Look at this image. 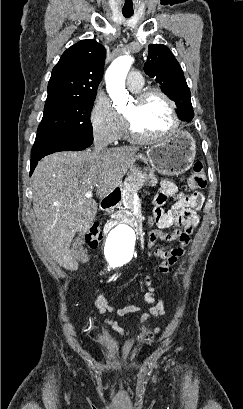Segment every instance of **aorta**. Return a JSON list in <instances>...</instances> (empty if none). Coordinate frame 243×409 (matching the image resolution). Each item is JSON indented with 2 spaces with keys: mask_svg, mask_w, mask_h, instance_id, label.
Masks as SVG:
<instances>
[{
  "mask_svg": "<svg viewBox=\"0 0 243 409\" xmlns=\"http://www.w3.org/2000/svg\"><path fill=\"white\" fill-rule=\"evenodd\" d=\"M134 59L130 55L116 58L108 67L105 80L106 88L113 103L118 107L128 101L125 79ZM135 242V232L127 224H119L108 234L105 243V254L109 261H115L131 252Z\"/></svg>",
  "mask_w": 243,
  "mask_h": 409,
  "instance_id": "1",
  "label": "aorta"
}]
</instances>
